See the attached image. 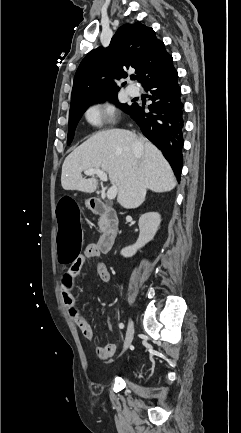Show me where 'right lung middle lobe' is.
<instances>
[{"label": "right lung middle lobe", "mask_w": 241, "mask_h": 433, "mask_svg": "<svg viewBox=\"0 0 241 433\" xmlns=\"http://www.w3.org/2000/svg\"><path fill=\"white\" fill-rule=\"evenodd\" d=\"M106 99H116V94H111V95H106L103 97H99V98H94V99H87V100H82L77 102L76 104L72 105L70 108V114H69V130H68V135H67V145H70V143L73 140L74 137V131L75 128L77 126V123L79 122L80 118L82 117L83 113L86 111V109L99 101H103ZM132 105L129 106L127 104H124L122 106V109L128 113L129 110L131 109Z\"/></svg>", "instance_id": "obj_1"}]
</instances>
